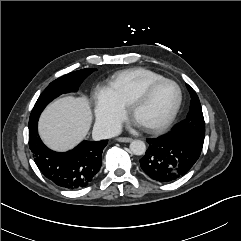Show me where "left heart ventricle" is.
I'll use <instances>...</instances> for the list:
<instances>
[{
    "label": "left heart ventricle",
    "mask_w": 241,
    "mask_h": 241,
    "mask_svg": "<svg viewBox=\"0 0 241 241\" xmlns=\"http://www.w3.org/2000/svg\"><path fill=\"white\" fill-rule=\"evenodd\" d=\"M177 100V88L173 84L164 83L136 110L134 119L141 125L161 124L171 115Z\"/></svg>",
    "instance_id": "left-heart-ventricle-1"
}]
</instances>
